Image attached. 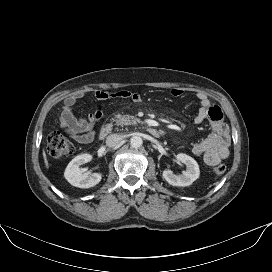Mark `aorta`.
I'll return each mask as SVG.
<instances>
[{
  "instance_id": "1",
  "label": "aorta",
  "mask_w": 272,
  "mask_h": 272,
  "mask_svg": "<svg viewBox=\"0 0 272 272\" xmlns=\"http://www.w3.org/2000/svg\"><path fill=\"white\" fill-rule=\"evenodd\" d=\"M142 138L139 137V136H133L131 137L130 139V145L133 147V148H139L142 146Z\"/></svg>"
}]
</instances>
